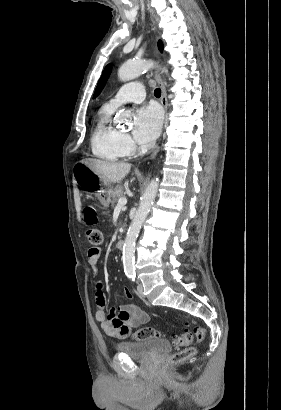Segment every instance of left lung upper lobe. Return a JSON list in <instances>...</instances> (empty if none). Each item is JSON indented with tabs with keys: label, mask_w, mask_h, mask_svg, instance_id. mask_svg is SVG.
Listing matches in <instances>:
<instances>
[{
	"label": "left lung upper lobe",
	"mask_w": 281,
	"mask_h": 410,
	"mask_svg": "<svg viewBox=\"0 0 281 410\" xmlns=\"http://www.w3.org/2000/svg\"><path fill=\"white\" fill-rule=\"evenodd\" d=\"M158 47L162 51L163 44H162L161 41L158 42ZM110 73H111V65H107L105 70L102 73L101 78L98 81L97 88H96L95 93H94V98L97 97L99 95V93L101 92L102 88L104 87L105 83L107 82V79H108Z\"/></svg>",
	"instance_id": "5c2ea615"
}]
</instances>
